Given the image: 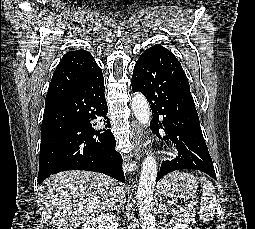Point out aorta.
Wrapping results in <instances>:
<instances>
[{"label":"aorta","instance_id":"1","mask_svg":"<svg viewBox=\"0 0 255 229\" xmlns=\"http://www.w3.org/2000/svg\"><path fill=\"white\" fill-rule=\"evenodd\" d=\"M132 110L137 120L144 126H149L151 113L147 99L140 92L132 98ZM157 177V162L152 153L145 157L140 173L137 204L141 219L148 229H155L156 222L153 215V193Z\"/></svg>","mask_w":255,"mask_h":229}]
</instances>
